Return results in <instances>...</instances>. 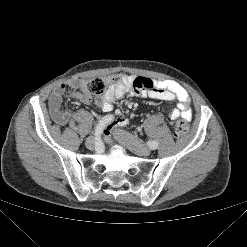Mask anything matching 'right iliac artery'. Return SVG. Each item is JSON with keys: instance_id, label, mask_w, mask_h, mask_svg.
Masks as SVG:
<instances>
[{"instance_id": "82829eb1", "label": "right iliac artery", "mask_w": 247, "mask_h": 247, "mask_svg": "<svg viewBox=\"0 0 247 247\" xmlns=\"http://www.w3.org/2000/svg\"><path fill=\"white\" fill-rule=\"evenodd\" d=\"M112 119H113L112 115H107V116L103 117L99 121L98 125L96 126L94 135H95V139L97 140L96 144H95V150L97 152H102L104 150L103 141H102V139H100V135H101L102 131L104 130V127L106 126V124H108Z\"/></svg>"}]
</instances>
